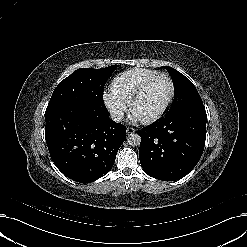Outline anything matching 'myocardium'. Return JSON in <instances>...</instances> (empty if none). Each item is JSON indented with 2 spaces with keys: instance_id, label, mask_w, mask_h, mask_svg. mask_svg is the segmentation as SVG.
<instances>
[{
  "instance_id": "1",
  "label": "myocardium",
  "mask_w": 247,
  "mask_h": 247,
  "mask_svg": "<svg viewBox=\"0 0 247 247\" xmlns=\"http://www.w3.org/2000/svg\"><path fill=\"white\" fill-rule=\"evenodd\" d=\"M159 78H165L168 82V95L167 98L164 102V104L162 105V107L160 108L159 111H157L156 113L148 116V117H141L139 115H137L134 111V106L136 104V102L140 99V97L142 96L143 92L157 79ZM173 95H174V85L172 82V79L170 78V76L166 73H158L154 76H152L151 78H149L148 80H146L139 88L138 90L134 93V95L132 96V98L129 101V112L135 116L136 118L140 119V121H142L143 123H151L153 121H155L156 119L160 118L168 109V107L170 106L172 99H173Z\"/></svg>"
}]
</instances>
